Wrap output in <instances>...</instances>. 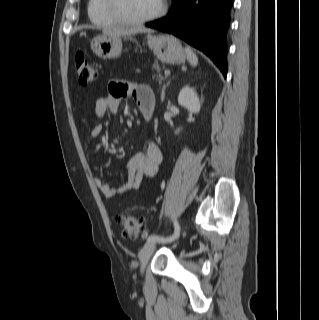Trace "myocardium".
I'll list each match as a JSON object with an SVG mask.
<instances>
[{
	"instance_id": "f54148a6",
	"label": "myocardium",
	"mask_w": 319,
	"mask_h": 320,
	"mask_svg": "<svg viewBox=\"0 0 319 320\" xmlns=\"http://www.w3.org/2000/svg\"><path fill=\"white\" fill-rule=\"evenodd\" d=\"M118 0H105V8L109 16L120 24L137 25L144 24L162 17L167 9L166 0H161L160 7L153 14L142 18H131L124 15L118 6Z\"/></svg>"
}]
</instances>
